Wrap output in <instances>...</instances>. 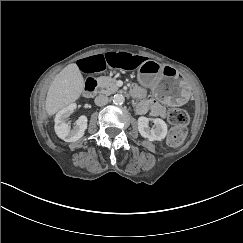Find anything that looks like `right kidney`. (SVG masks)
<instances>
[{"label":"right kidney","mask_w":243,"mask_h":243,"mask_svg":"<svg viewBox=\"0 0 243 243\" xmlns=\"http://www.w3.org/2000/svg\"><path fill=\"white\" fill-rule=\"evenodd\" d=\"M75 109L76 105L72 104L58 112L55 118V131L58 137L65 142H76L84 136L88 127V118L86 115H82L76 121V126L70 130V125L66 121L74 113Z\"/></svg>","instance_id":"1"}]
</instances>
